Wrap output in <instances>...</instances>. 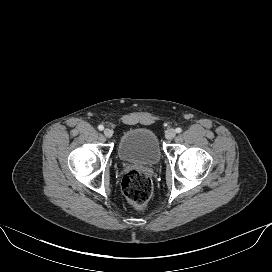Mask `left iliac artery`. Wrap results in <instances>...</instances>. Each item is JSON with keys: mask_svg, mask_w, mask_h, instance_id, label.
I'll use <instances>...</instances> for the list:
<instances>
[{"mask_svg": "<svg viewBox=\"0 0 272 272\" xmlns=\"http://www.w3.org/2000/svg\"><path fill=\"white\" fill-rule=\"evenodd\" d=\"M175 131H176V133H180V132H182V129L180 127H178L175 129Z\"/></svg>", "mask_w": 272, "mask_h": 272, "instance_id": "left-iliac-artery-1", "label": "left iliac artery"}]
</instances>
